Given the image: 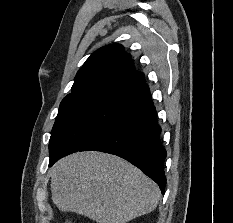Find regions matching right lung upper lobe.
I'll list each match as a JSON object with an SVG mask.
<instances>
[{
	"instance_id": "obj_1",
	"label": "right lung upper lobe",
	"mask_w": 233,
	"mask_h": 223,
	"mask_svg": "<svg viewBox=\"0 0 233 223\" xmlns=\"http://www.w3.org/2000/svg\"><path fill=\"white\" fill-rule=\"evenodd\" d=\"M144 74L135 70L130 54L120 44L95 51L78 71L71 95L97 91H118L144 83Z\"/></svg>"
}]
</instances>
